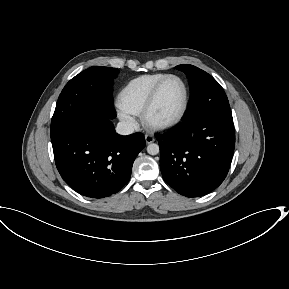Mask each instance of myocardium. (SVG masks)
<instances>
[{"label":"myocardium","mask_w":289,"mask_h":289,"mask_svg":"<svg viewBox=\"0 0 289 289\" xmlns=\"http://www.w3.org/2000/svg\"><path fill=\"white\" fill-rule=\"evenodd\" d=\"M170 79L179 80L184 87L185 97H184V103H183L182 109H181L180 113L175 118H173L169 121L155 122L150 117L151 111L155 105V102L157 100L160 89L162 88L164 83ZM189 103H190V90H189V86H188L187 82L185 81V79L179 75H176V74H168L165 77H163L161 80H159L155 84V86L152 88V90H151V92H150V94H149V96L145 102L143 110L141 112V117H142L143 123L145 124V126H147L148 128H150L152 130H166V129L173 128L184 119V117L187 113L188 107H189Z\"/></svg>","instance_id":"f54148a6"}]
</instances>
